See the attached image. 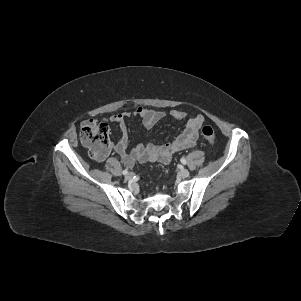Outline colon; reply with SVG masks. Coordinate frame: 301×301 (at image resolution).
Segmentation results:
<instances>
[{"label": "colon", "instance_id": "obj_1", "mask_svg": "<svg viewBox=\"0 0 301 301\" xmlns=\"http://www.w3.org/2000/svg\"><path fill=\"white\" fill-rule=\"evenodd\" d=\"M201 132L211 145L215 144V132L211 126H204ZM80 137L94 159H101L108 154L110 150L109 127L106 123L95 120L84 122L81 127Z\"/></svg>", "mask_w": 301, "mask_h": 301}]
</instances>
